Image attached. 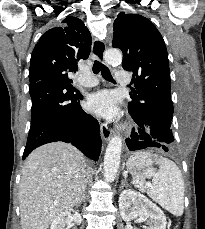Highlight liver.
I'll return each mask as SVG.
<instances>
[{"label": "liver", "mask_w": 205, "mask_h": 229, "mask_svg": "<svg viewBox=\"0 0 205 229\" xmlns=\"http://www.w3.org/2000/svg\"><path fill=\"white\" fill-rule=\"evenodd\" d=\"M88 164L71 144L54 142L35 149L22 170L19 201L22 229H48L81 198Z\"/></svg>", "instance_id": "1"}]
</instances>
